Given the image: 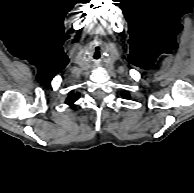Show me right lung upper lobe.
Returning a JSON list of instances; mask_svg holds the SVG:
<instances>
[{"label":"right lung upper lobe","mask_w":194,"mask_h":193,"mask_svg":"<svg viewBox=\"0 0 194 193\" xmlns=\"http://www.w3.org/2000/svg\"><path fill=\"white\" fill-rule=\"evenodd\" d=\"M79 98V94L75 93L74 91H71L69 93L68 98L66 99V103L71 106V108L75 107L73 103Z\"/></svg>","instance_id":"obj_1"}]
</instances>
